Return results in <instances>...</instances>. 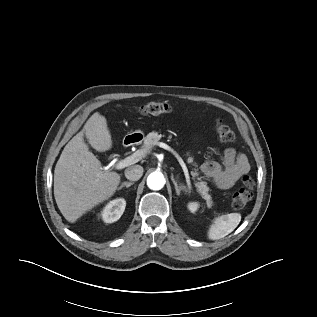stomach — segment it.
Returning a JSON list of instances; mask_svg holds the SVG:
<instances>
[{
	"label": "stomach",
	"instance_id": "0dacf381",
	"mask_svg": "<svg viewBox=\"0 0 317 317\" xmlns=\"http://www.w3.org/2000/svg\"><path fill=\"white\" fill-rule=\"evenodd\" d=\"M134 133L138 134V135H141V136L143 135V133L141 131H135Z\"/></svg>",
	"mask_w": 317,
	"mask_h": 317
}]
</instances>
